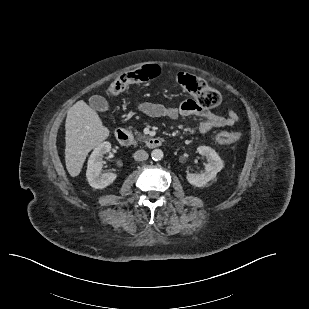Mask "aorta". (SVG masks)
I'll list each match as a JSON object with an SVG mask.
<instances>
[{"label": "aorta", "instance_id": "aorta-1", "mask_svg": "<svg viewBox=\"0 0 309 309\" xmlns=\"http://www.w3.org/2000/svg\"><path fill=\"white\" fill-rule=\"evenodd\" d=\"M164 154L161 149H154L151 152V157L154 161H160L163 158Z\"/></svg>", "mask_w": 309, "mask_h": 309}]
</instances>
